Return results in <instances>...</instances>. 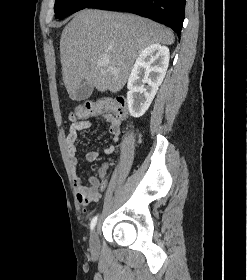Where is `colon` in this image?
Returning a JSON list of instances; mask_svg holds the SVG:
<instances>
[{
    "label": "colon",
    "instance_id": "1",
    "mask_svg": "<svg viewBox=\"0 0 247 280\" xmlns=\"http://www.w3.org/2000/svg\"><path fill=\"white\" fill-rule=\"evenodd\" d=\"M101 114H110L118 119L125 118L127 110L124 99L102 98L98 100H88L74 108L70 114V119L72 121H77Z\"/></svg>",
    "mask_w": 247,
    "mask_h": 280
}]
</instances>
